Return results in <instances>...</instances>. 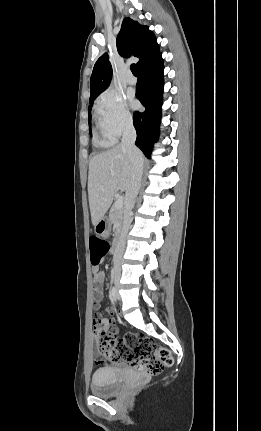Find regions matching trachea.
<instances>
[{
	"label": "trachea",
	"instance_id": "trachea-1",
	"mask_svg": "<svg viewBox=\"0 0 261 431\" xmlns=\"http://www.w3.org/2000/svg\"><path fill=\"white\" fill-rule=\"evenodd\" d=\"M130 69H131V71H132L133 75H135V76H138V75H139L138 68H137V65H136V64H132V65L130 66Z\"/></svg>",
	"mask_w": 261,
	"mask_h": 431
}]
</instances>
